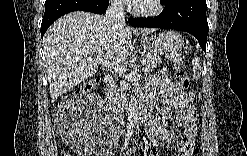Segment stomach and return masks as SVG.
Listing matches in <instances>:
<instances>
[{"mask_svg":"<svg viewBox=\"0 0 247 156\" xmlns=\"http://www.w3.org/2000/svg\"><path fill=\"white\" fill-rule=\"evenodd\" d=\"M142 39L156 49L167 53L180 51L184 46V37L176 31H163L151 37H142Z\"/></svg>","mask_w":247,"mask_h":156,"instance_id":"1","label":"stomach"}]
</instances>
